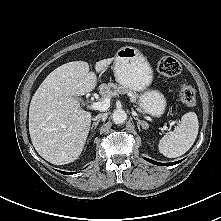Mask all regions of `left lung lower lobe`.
<instances>
[{"label":"left lung lower lobe","instance_id":"obj_1","mask_svg":"<svg viewBox=\"0 0 221 221\" xmlns=\"http://www.w3.org/2000/svg\"><path fill=\"white\" fill-rule=\"evenodd\" d=\"M147 161H149L150 163H152V164H156V165H159V166H171V165H174V164H177V163H179V162H181V161H177V162H173V163H159V162H155V161H153V160H151V159H148V158H145Z\"/></svg>","mask_w":221,"mask_h":221}]
</instances>
